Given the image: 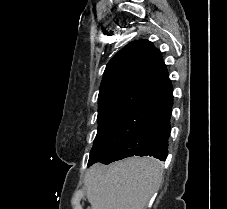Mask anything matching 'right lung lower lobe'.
<instances>
[{"label":"right lung lower lobe","instance_id":"right-lung-lower-lobe-1","mask_svg":"<svg viewBox=\"0 0 227 209\" xmlns=\"http://www.w3.org/2000/svg\"><path fill=\"white\" fill-rule=\"evenodd\" d=\"M167 78L169 83L168 73ZM173 93L151 107L150 114L140 129L112 151L101 163L109 164L130 156H152L165 160L170 136V116Z\"/></svg>","mask_w":227,"mask_h":209}]
</instances>
